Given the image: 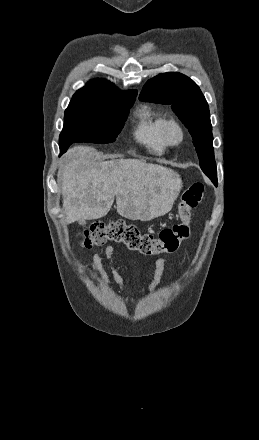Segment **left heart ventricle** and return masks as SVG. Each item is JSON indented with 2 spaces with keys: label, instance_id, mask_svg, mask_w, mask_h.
<instances>
[{
  "label": "left heart ventricle",
  "instance_id": "1",
  "mask_svg": "<svg viewBox=\"0 0 259 440\" xmlns=\"http://www.w3.org/2000/svg\"><path fill=\"white\" fill-rule=\"evenodd\" d=\"M178 137H179V133H178V131H177L176 129H172V131H171V138H172L173 140H177Z\"/></svg>",
  "mask_w": 259,
  "mask_h": 440
}]
</instances>
